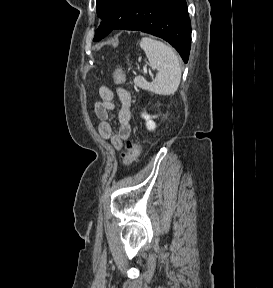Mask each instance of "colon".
Returning <instances> with one entry per match:
<instances>
[{"mask_svg":"<svg viewBox=\"0 0 273 288\" xmlns=\"http://www.w3.org/2000/svg\"><path fill=\"white\" fill-rule=\"evenodd\" d=\"M113 79L116 84H122L124 82L125 74L121 68L115 70ZM139 152L140 144L137 141H127L121 158L122 165L124 167L131 165L138 157Z\"/></svg>","mask_w":273,"mask_h":288,"instance_id":"5ec220e1","label":"colon"}]
</instances>
